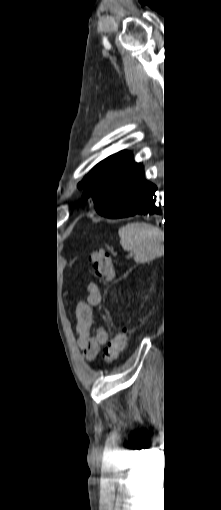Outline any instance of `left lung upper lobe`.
<instances>
[{
    "instance_id": "1",
    "label": "left lung upper lobe",
    "mask_w": 221,
    "mask_h": 510,
    "mask_svg": "<svg viewBox=\"0 0 221 510\" xmlns=\"http://www.w3.org/2000/svg\"><path fill=\"white\" fill-rule=\"evenodd\" d=\"M143 172L128 151H120L98 163L78 184L84 188L83 198L91 199L95 210L104 208L130 182Z\"/></svg>"
}]
</instances>
